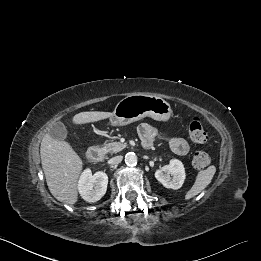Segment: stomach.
<instances>
[{
  "label": "stomach",
  "mask_w": 261,
  "mask_h": 261,
  "mask_svg": "<svg viewBox=\"0 0 261 261\" xmlns=\"http://www.w3.org/2000/svg\"><path fill=\"white\" fill-rule=\"evenodd\" d=\"M171 114L170 104L162 97L135 93L126 96L117 103L110 120L112 125H127L144 117L166 121Z\"/></svg>",
  "instance_id": "1"
}]
</instances>
